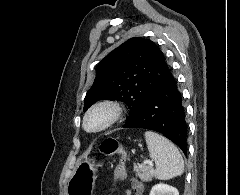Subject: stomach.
I'll return each instance as SVG.
<instances>
[{
    "label": "stomach",
    "instance_id": "0dacf381",
    "mask_svg": "<svg viewBox=\"0 0 240 195\" xmlns=\"http://www.w3.org/2000/svg\"><path fill=\"white\" fill-rule=\"evenodd\" d=\"M95 181V159L80 157L69 181L68 195H92Z\"/></svg>",
    "mask_w": 240,
    "mask_h": 195
}]
</instances>
